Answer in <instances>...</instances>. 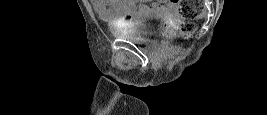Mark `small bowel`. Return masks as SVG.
I'll return each instance as SVG.
<instances>
[{
  "mask_svg": "<svg viewBox=\"0 0 267 115\" xmlns=\"http://www.w3.org/2000/svg\"><path fill=\"white\" fill-rule=\"evenodd\" d=\"M91 4L100 16L114 19H123L127 13L131 15L130 18L140 19L147 13L169 15L177 10V5L174 3L144 0H91Z\"/></svg>",
  "mask_w": 267,
  "mask_h": 115,
  "instance_id": "c3829d8e",
  "label": "small bowel"
}]
</instances>
